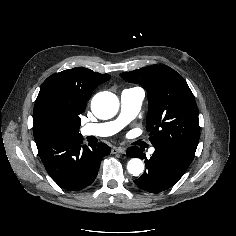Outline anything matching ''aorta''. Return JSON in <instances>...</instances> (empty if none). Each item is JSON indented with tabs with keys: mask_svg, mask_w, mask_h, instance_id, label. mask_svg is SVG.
Here are the masks:
<instances>
[{
	"mask_svg": "<svg viewBox=\"0 0 236 236\" xmlns=\"http://www.w3.org/2000/svg\"><path fill=\"white\" fill-rule=\"evenodd\" d=\"M91 108L96 117L109 119L118 112L119 100L117 96L111 92H100L93 97ZM127 170L133 176H138L143 172L144 164L142 160L132 158L127 164Z\"/></svg>",
	"mask_w": 236,
	"mask_h": 236,
	"instance_id": "aorta-1",
	"label": "aorta"
}]
</instances>
